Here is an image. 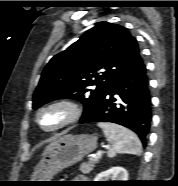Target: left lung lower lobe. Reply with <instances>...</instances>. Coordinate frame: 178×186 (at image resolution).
Listing matches in <instances>:
<instances>
[{
  "mask_svg": "<svg viewBox=\"0 0 178 186\" xmlns=\"http://www.w3.org/2000/svg\"><path fill=\"white\" fill-rule=\"evenodd\" d=\"M117 100L118 104L115 103ZM151 118L149 82L142 61L121 74L108 88L100 104L83 114L80 123H116L133 130L146 145Z\"/></svg>",
  "mask_w": 178,
  "mask_h": 186,
  "instance_id": "0a47b994",
  "label": "left lung lower lobe"
}]
</instances>
